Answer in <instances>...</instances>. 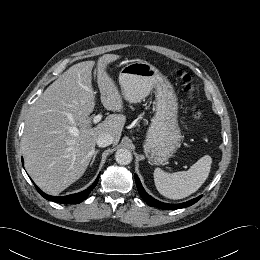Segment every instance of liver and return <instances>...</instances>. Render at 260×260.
<instances>
[{"label": "liver", "mask_w": 260, "mask_h": 260, "mask_svg": "<svg viewBox=\"0 0 260 260\" xmlns=\"http://www.w3.org/2000/svg\"><path fill=\"white\" fill-rule=\"evenodd\" d=\"M119 55L105 54L97 61V83L101 102L110 114L92 127L90 114L95 107L92 87L94 61L71 66L54 81L29 110L21 149L25 168L44 192L57 195L77 181L86 171L95 153L99 135L108 133L118 144L126 117L122 97L107 65ZM77 129V135L71 129Z\"/></svg>", "instance_id": "6515ba94"}]
</instances>
